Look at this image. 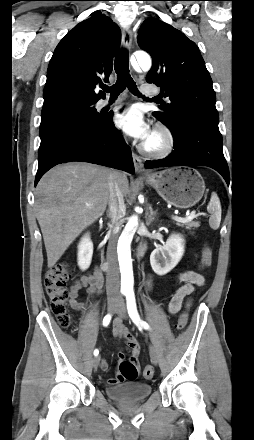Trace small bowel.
Returning <instances> with one entry per match:
<instances>
[{"label": "small bowel", "instance_id": "obj_1", "mask_svg": "<svg viewBox=\"0 0 254 440\" xmlns=\"http://www.w3.org/2000/svg\"><path fill=\"white\" fill-rule=\"evenodd\" d=\"M178 281L182 282V285L172 295L169 303V312L171 314H177L182 306L183 300L186 296L192 294L196 287L204 285L205 279L203 275L196 271H184L177 277ZM153 286V280L149 277L145 282L147 290H151ZM82 288H87V291L91 295H98L102 288V279L97 269H94L87 275L75 280L70 288V305L77 311H83L85 305L78 301L79 291ZM113 334L115 337L121 339L125 343L126 351L129 355V360L134 362L137 366L139 363L140 344L134 335L125 327L122 320L117 318L113 322ZM124 359V353H119V360ZM103 370H107L108 363L103 361L101 364ZM124 381L120 371L115 377L110 378L108 383L112 386L120 384Z\"/></svg>", "mask_w": 254, "mask_h": 440}]
</instances>
